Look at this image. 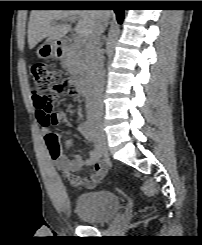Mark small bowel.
I'll list each match as a JSON object with an SVG mask.
<instances>
[{"label": "small bowel", "instance_id": "obj_1", "mask_svg": "<svg viewBox=\"0 0 202 245\" xmlns=\"http://www.w3.org/2000/svg\"><path fill=\"white\" fill-rule=\"evenodd\" d=\"M78 116L81 117V112L78 111ZM56 117V122H66L67 118L63 111L58 110L54 112ZM41 132L44 137V141L47 144L48 148L51 146L52 142L56 140L59 144L61 141L68 147L73 145V141L62 137L60 134L52 132L50 130V125H45L40 122ZM79 130L81 134L87 139L92 140L91 136L85 131L82 124L79 125ZM53 163L56 168L61 172L64 179L74 187L83 186L87 189H90L96 186L101 179L103 178L106 167L104 163H102L100 159L99 152L97 148H94L90 151L87 158H83L79 154H74L72 158H70L67 154H65L61 149L57 156H51ZM88 165L90 166V171L86 176H77L75 172L82 168V166Z\"/></svg>", "mask_w": 202, "mask_h": 245}]
</instances>
